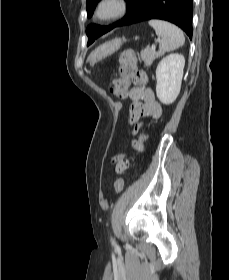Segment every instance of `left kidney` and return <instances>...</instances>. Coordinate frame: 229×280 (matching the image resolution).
<instances>
[{"mask_svg":"<svg viewBox=\"0 0 229 280\" xmlns=\"http://www.w3.org/2000/svg\"><path fill=\"white\" fill-rule=\"evenodd\" d=\"M185 58L178 53L164 57L156 69V94L163 104L173 103L180 93Z\"/></svg>","mask_w":229,"mask_h":280,"instance_id":"left-kidney-1","label":"left kidney"}]
</instances>
